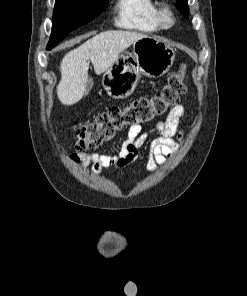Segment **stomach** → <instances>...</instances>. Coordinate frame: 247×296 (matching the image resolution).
<instances>
[{
    "label": "stomach",
    "instance_id": "stomach-1",
    "mask_svg": "<svg viewBox=\"0 0 247 296\" xmlns=\"http://www.w3.org/2000/svg\"><path fill=\"white\" fill-rule=\"evenodd\" d=\"M175 60V51L163 40L146 37L133 43V52H125L105 71L102 85L114 99H124L135 90L145 75L158 78L166 74Z\"/></svg>",
    "mask_w": 247,
    "mask_h": 296
}]
</instances>
